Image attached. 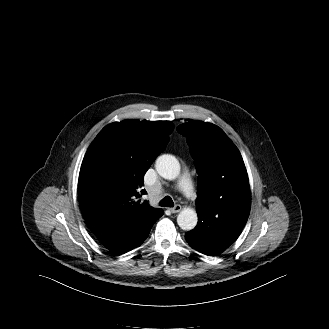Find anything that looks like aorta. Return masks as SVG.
Segmentation results:
<instances>
[{
	"label": "aorta",
	"instance_id": "762f6f07",
	"mask_svg": "<svg viewBox=\"0 0 329 329\" xmlns=\"http://www.w3.org/2000/svg\"><path fill=\"white\" fill-rule=\"evenodd\" d=\"M158 174L167 180H174L180 174V163L175 156L163 154L159 156L155 164ZM198 216L194 209L184 208L177 216V223L183 230L189 231L195 228Z\"/></svg>",
	"mask_w": 329,
	"mask_h": 329
}]
</instances>
